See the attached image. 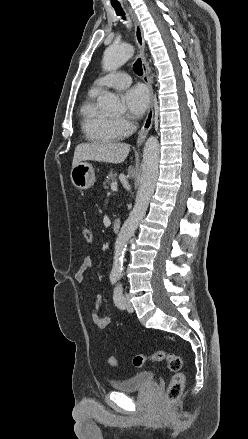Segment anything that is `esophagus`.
<instances>
[{
    "mask_svg": "<svg viewBox=\"0 0 248 439\" xmlns=\"http://www.w3.org/2000/svg\"><path fill=\"white\" fill-rule=\"evenodd\" d=\"M129 14L133 20L134 23V33H135V39L136 43L138 45L139 51H140V57L142 60V68H143V81L147 85L149 90V107L147 116L145 118V121L139 131L138 139H137V146H141L149 132V130L152 127L153 124V116H154V96H153V87H152V77L150 76V70L149 65L145 57V40L143 36V30L140 25V22L138 21L136 15L133 13V11L129 8Z\"/></svg>",
    "mask_w": 248,
    "mask_h": 439,
    "instance_id": "obj_1",
    "label": "esophagus"
}]
</instances>
